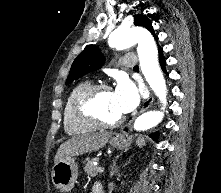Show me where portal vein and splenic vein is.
<instances>
[{
	"mask_svg": "<svg viewBox=\"0 0 221 193\" xmlns=\"http://www.w3.org/2000/svg\"><path fill=\"white\" fill-rule=\"evenodd\" d=\"M97 172H98V173L104 172V168H103V167H98Z\"/></svg>",
	"mask_w": 221,
	"mask_h": 193,
	"instance_id": "obj_1",
	"label": "portal vein and splenic vein"
}]
</instances>
